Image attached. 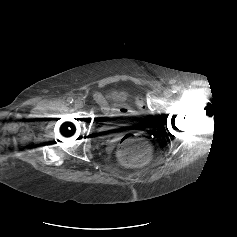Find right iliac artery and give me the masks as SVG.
I'll list each match as a JSON object with an SVG mask.
<instances>
[{"instance_id":"obj_1","label":"right iliac artery","mask_w":237,"mask_h":237,"mask_svg":"<svg viewBox=\"0 0 237 237\" xmlns=\"http://www.w3.org/2000/svg\"><path fill=\"white\" fill-rule=\"evenodd\" d=\"M73 101H74V100H73V98H72V97H69V98L67 99V102H68V103H70V104H72V103H73Z\"/></svg>"}]
</instances>
